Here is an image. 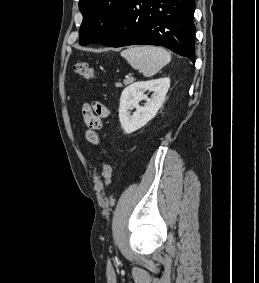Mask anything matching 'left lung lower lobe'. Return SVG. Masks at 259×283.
<instances>
[{"label": "left lung lower lobe", "mask_w": 259, "mask_h": 283, "mask_svg": "<svg viewBox=\"0 0 259 283\" xmlns=\"http://www.w3.org/2000/svg\"><path fill=\"white\" fill-rule=\"evenodd\" d=\"M195 0H130L113 32L111 47L159 45L195 62Z\"/></svg>", "instance_id": "left-lung-lower-lobe-1"}]
</instances>
